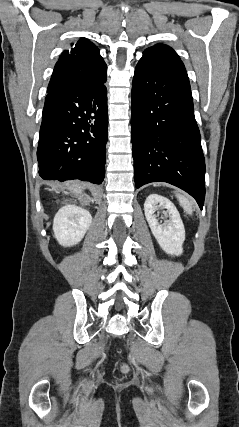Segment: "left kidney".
I'll list each match as a JSON object with an SVG mask.
<instances>
[{
  "mask_svg": "<svg viewBox=\"0 0 239 427\" xmlns=\"http://www.w3.org/2000/svg\"><path fill=\"white\" fill-rule=\"evenodd\" d=\"M166 209L165 214L169 216V221L164 224L158 222L155 211ZM145 217L162 250L169 255L179 256L183 252V242L185 240V229L180 214L174 204L157 194H151L144 203Z\"/></svg>",
  "mask_w": 239,
  "mask_h": 427,
  "instance_id": "5707ae66",
  "label": "left kidney"
}]
</instances>
